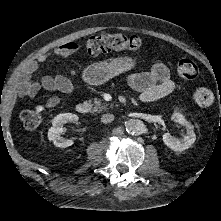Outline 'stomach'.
<instances>
[{"mask_svg":"<svg viewBox=\"0 0 221 221\" xmlns=\"http://www.w3.org/2000/svg\"><path fill=\"white\" fill-rule=\"evenodd\" d=\"M136 61L131 57L109 58L93 63L83 71V80L94 86L102 85L119 74L132 70Z\"/></svg>","mask_w":221,"mask_h":221,"instance_id":"1","label":"stomach"}]
</instances>
